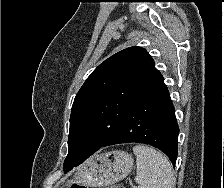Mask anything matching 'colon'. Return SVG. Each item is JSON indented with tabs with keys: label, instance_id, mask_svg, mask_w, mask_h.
Here are the masks:
<instances>
[{
	"label": "colon",
	"instance_id": "obj_1",
	"mask_svg": "<svg viewBox=\"0 0 224 188\" xmlns=\"http://www.w3.org/2000/svg\"><path fill=\"white\" fill-rule=\"evenodd\" d=\"M71 188H86L85 186H83V185H80V184H78V183H74L73 185H72V187ZM107 188H125L124 186H122V185H111V186H109V187H107Z\"/></svg>",
	"mask_w": 224,
	"mask_h": 188
}]
</instances>
